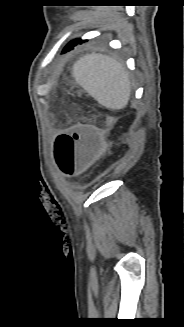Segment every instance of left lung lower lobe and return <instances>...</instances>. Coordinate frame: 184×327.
<instances>
[{
	"mask_svg": "<svg viewBox=\"0 0 184 327\" xmlns=\"http://www.w3.org/2000/svg\"><path fill=\"white\" fill-rule=\"evenodd\" d=\"M87 40H81V39H76V40H73V41H71L70 43H68L67 45H66V47L63 49V53H65V52H67V51H70L72 48H73V46H75L76 44H78V43H84V42H86Z\"/></svg>",
	"mask_w": 184,
	"mask_h": 327,
	"instance_id": "obj_1",
	"label": "left lung lower lobe"
}]
</instances>
